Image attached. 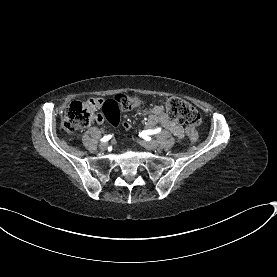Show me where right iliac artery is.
I'll return each instance as SVG.
<instances>
[{"mask_svg":"<svg viewBox=\"0 0 277 277\" xmlns=\"http://www.w3.org/2000/svg\"><path fill=\"white\" fill-rule=\"evenodd\" d=\"M112 137V135H108V136H104L103 138H101V142H106L108 141L110 138Z\"/></svg>","mask_w":277,"mask_h":277,"instance_id":"obj_1","label":"right iliac artery"}]
</instances>
